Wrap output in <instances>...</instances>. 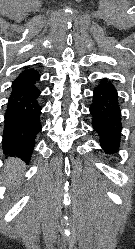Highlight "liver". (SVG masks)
I'll use <instances>...</instances> for the list:
<instances>
[{
    "label": "liver",
    "mask_w": 135,
    "mask_h": 249,
    "mask_svg": "<svg viewBox=\"0 0 135 249\" xmlns=\"http://www.w3.org/2000/svg\"><path fill=\"white\" fill-rule=\"evenodd\" d=\"M24 170L25 165L20 159L10 158L6 161L3 178L6 180V182L11 183V190L15 189V186L18 184V181L21 178Z\"/></svg>",
    "instance_id": "1"
}]
</instances>
